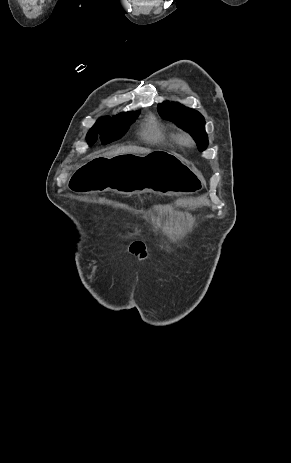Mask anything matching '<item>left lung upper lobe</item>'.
Masks as SVG:
<instances>
[{"instance_id":"5c2ea615","label":"left lung upper lobe","mask_w":291,"mask_h":463,"mask_svg":"<svg viewBox=\"0 0 291 463\" xmlns=\"http://www.w3.org/2000/svg\"><path fill=\"white\" fill-rule=\"evenodd\" d=\"M157 110L164 119L176 123L189 132L201 151L207 147L208 137L205 132V120L198 111L174 102H163L158 105Z\"/></svg>"}]
</instances>
